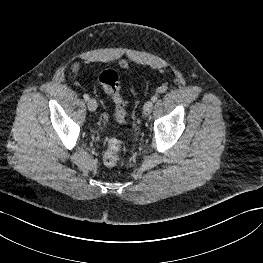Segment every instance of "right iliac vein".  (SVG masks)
<instances>
[{"label":"right iliac vein","instance_id":"1","mask_svg":"<svg viewBox=\"0 0 263 263\" xmlns=\"http://www.w3.org/2000/svg\"><path fill=\"white\" fill-rule=\"evenodd\" d=\"M87 106L89 111L93 112L97 109L98 104L95 99L91 98L90 100H88Z\"/></svg>","mask_w":263,"mask_h":263}]
</instances>
